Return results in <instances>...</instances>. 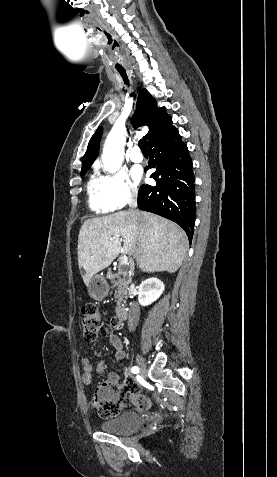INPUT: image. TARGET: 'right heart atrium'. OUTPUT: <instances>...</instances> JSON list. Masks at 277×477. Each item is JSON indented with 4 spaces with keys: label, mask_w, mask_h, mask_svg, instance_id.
<instances>
[{
    "label": "right heart atrium",
    "mask_w": 277,
    "mask_h": 477,
    "mask_svg": "<svg viewBox=\"0 0 277 477\" xmlns=\"http://www.w3.org/2000/svg\"><path fill=\"white\" fill-rule=\"evenodd\" d=\"M101 179L105 197L112 210L121 209L136 199L137 187L124 171L106 174Z\"/></svg>",
    "instance_id": "obj_1"
}]
</instances>
